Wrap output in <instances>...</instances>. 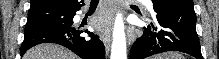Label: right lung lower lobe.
Returning a JSON list of instances; mask_svg holds the SVG:
<instances>
[{"instance_id":"98d812e1","label":"right lung lower lobe","mask_w":219,"mask_h":59,"mask_svg":"<svg viewBox=\"0 0 219 59\" xmlns=\"http://www.w3.org/2000/svg\"><path fill=\"white\" fill-rule=\"evenodd\" d=\"M80 3L78 6L66 10L67 18L62 24L24 33L20 55L23 56L29 48L37 44L56 43L72 50L82 59H105V48L99 37L88 30H81L72 26L73 17L82 6ZM83 33H88L90 38L83 36Z\"/></svg>"}]
</instances>
